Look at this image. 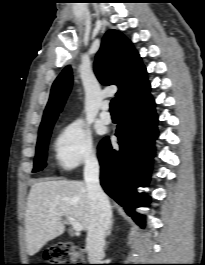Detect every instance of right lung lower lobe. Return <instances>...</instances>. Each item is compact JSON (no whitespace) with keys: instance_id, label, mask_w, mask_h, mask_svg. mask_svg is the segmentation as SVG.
<instances>
[{"instance_id":"98d812e1","label":"right lung lower lobe","mask_w":205,"mask_h":265,"mask_svg":"<svg viewBox=\"0 0 205 265\" xmlns=\"http://www.w3.org/2000/svg\"><path fill=\"white\" fill-rule=\"evenodd\" d=\"M157 135L155 104L149 93L138 103L120 110L115 133L119 150L112 148L108 138L98 146L103 189L137 223L143 222L144 218L135 212V208L147 205L149 198L136 189L149 182Z\"/></svg>"}]
</instances>
